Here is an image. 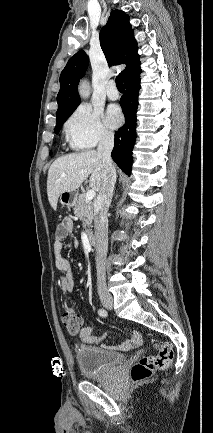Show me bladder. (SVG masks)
I'll return each mask as SVG.
<instances>
[{"label": "bladder", "mask_w": 213, "mask_h": 433, "mask_svg": "<svg viewBox=\"0 0 213 433\" xmlns=\"http://www.w3.org/2000/svg\"><path fill=\"white\" fill-rule=\"evenodd\" d=\"M75 357L80 373L88 379L108 376L116 371L125 359L121 353L88 345L78 346Z\"/></svg>", "instance_id": "bladder-1"}]
</instances>
